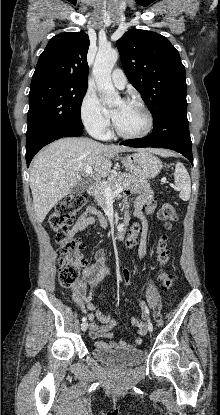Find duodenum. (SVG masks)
<instances>
[{"instance_id": "duodenum-1", "label": "duodenum", "mask_w": 220, "mask_h": 415, "mask_svg": "<svg viewBox=\"0 0 220 415\" xmlns=\"http://www.w3.org/2000/svg\"><path fill=\"white\" fill-rule=\"evenodd\" d=\"M96 190V186L95 184L91 183L88 185L87 187V192L89 194H93ZM126 232V220L123 221V224L121 226H119L115 231H114V235L116 237L122 238L125 235Z\"/></svg>"}]
</instances>
